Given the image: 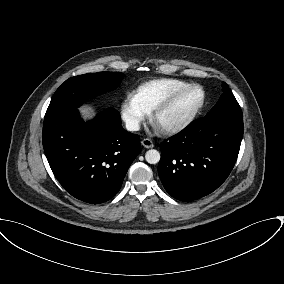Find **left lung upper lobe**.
I'll return each instance as SVG.
<instances>
[{"instance_id": "left-lung-upper-lobe-1", "label": "left lung upper lobe", "mask_w": 284, "mask_h": 284, "mask_svg": "<svg viewBox=\"0 0 284 284\" xmlns=\"http://www.w3.org/2000/svg\"><path fill=\"white\" fill-rule=\"evenodd\" d=\"M222 88L223 94L219 98L217 104L207 113L206 116L216 114L242 115V110L228 85L223 82Z\"/></svg>"}]
</instances>
